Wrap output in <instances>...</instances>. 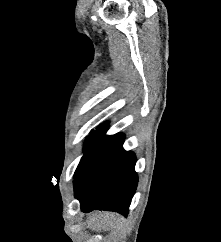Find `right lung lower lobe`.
Here are the masks:
<instances>
[{
	"label": "right lung lower lobe",
	"mask_w": 221,
	"mask_h": 242,
	"mask_svg": "<svg viewBox=\"0 0 221 242\" xmlns=\"http://www.w3.org/2000/svg\"><path fill=\"white\" fill-rule=\"evenodd\" d=\"M106 131L102 127L86 140L74 173V191L85 213L98 209L126 216L138 182L136 159L122 148V134L106 136Z\"/></svg>",
	"instance_id": "right-lung-lower-lobe-1"
}]
</instances>
